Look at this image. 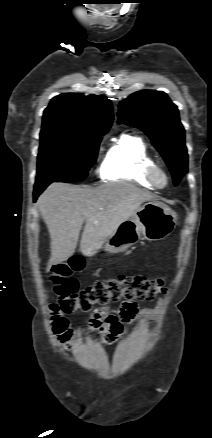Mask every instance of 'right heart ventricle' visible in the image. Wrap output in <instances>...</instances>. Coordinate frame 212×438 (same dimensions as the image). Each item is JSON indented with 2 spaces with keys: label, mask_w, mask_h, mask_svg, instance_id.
Instances as JSON below:
<instances>
[{
  "label": "right heart ventricle",
  "mask_w": 212,
  "mask_h": 438,
  "mask_svg": "<svg viewBox=\"0 0 212 438\" xmlns=\"http://www.w3.org/2000/svg\"><path fill=\"white\" fill-rule=\"evenodd\" d=\"M155 163L145 141L134 135H124L108 149L102 167V177L109 181H128L153 190L145 178V169Z\"/></svg>",
  "instance_id": "obj_1"
}]
</instances>
